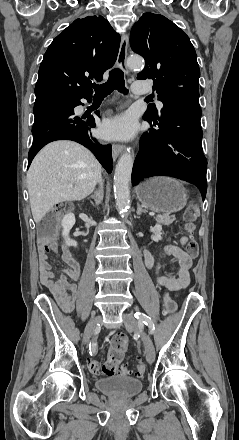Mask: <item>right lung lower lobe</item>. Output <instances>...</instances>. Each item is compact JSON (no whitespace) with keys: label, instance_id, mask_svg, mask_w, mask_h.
Wrapping results in <instances>:
<instances>
[{"label":"right lung lower lobe","instance_id":"obj_1","mask_svg":"<svg viewBox=\"0 0 239 440\" xmlns=\"http://www.w3.org/2000/svg\"><path fill=\"white\" fill-rule=\"evenodd\" d=\"M82 98L91 100L92 95L78 97L47 95L36 98L35 120L32 127L33 144L28 154V166L43 146L55 140L65 139L87 147L107 172L111 173L113 168L111 145H101L91 136L90 128L95 127L93 116H88L86 119V116L78 117L74 114L73 109L81 104Z\"/></svg>","mask_w":239,"mask_h":440}]
</instances>
